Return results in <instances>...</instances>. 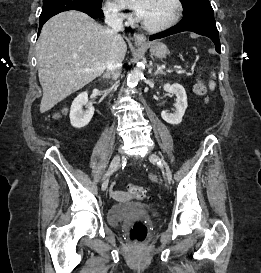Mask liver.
<instances>
[{
  "label": "liver",
  "instance_id": "1",
  "mask_svg": "<svg viewBox=\"0 0 261 273\" xmlns=\"http://www.w3.org/2000/svg\"><path fill=\"white\" fill-rule=\"evenodd\" d=\"M113 39L112 29L101 26L80 11L59 13L44 24L36 45L38 75L43 89L41 113L104 72ZM116 42L124 58L127 45L120 35ZM85 68L90 71L86 72Z\"/></svg>",
  "mask_w": 261,
  "mask_h": 273
}]
</instances>
